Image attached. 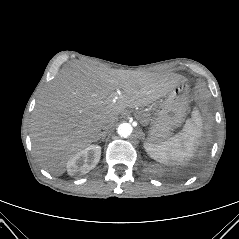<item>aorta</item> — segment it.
<instances>
[{
	"label": "aorta",
	"instance_id": "aorta-1",
	"mask_svg": "<svg viewBox=\"0 0 239 239\" xmlns=\"http://www.w3.org/2000/svg\"><path fill=\"white\" fill-rule=\"evenodd\" d=\"M133 131L132 126L129 123H122L118 126L117 133L121 137H128Z\"/></svg>",
	"mask_w": 239,
	"mask_h": 239
}]
</instances>
